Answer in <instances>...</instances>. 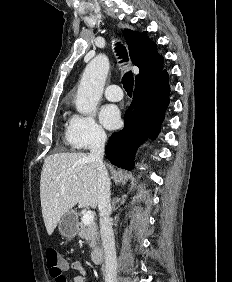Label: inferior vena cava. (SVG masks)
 I'll return each instance as SVG.
<instances>
[{
    "mask_svg": "<svg viewBox=\"0 0 232 282\" xmlns=\"http://www.w3.org/2000/svg\"><path fill=\"white\" fill-rule=\"evenodd\" d=\"M106 134L104 131L96 133L91 146L88 160L96 165L98 171V196L97 204L100 215V234L105 256V279L110 282L116 280L117 260L114 233L110 221V179L103 163Z\"/></svg>",
    "mask_w": 232,
    "mask_h": 282,
    "instance_id": "1",
    "label": "inferior vena cava"
}]
</instances>
